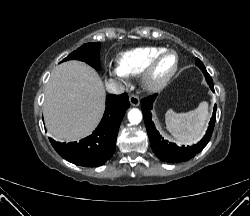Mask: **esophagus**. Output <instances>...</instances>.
<instances>
[{
    "label": "esophagus",
    "mask_w": 250,
    "mask_h": 216,
    "mask_svg": "<svg viewBox=\"0 0 250 216\" xmlns=\"http://www.w3.org/2000/svg\"><path fill=\"white\" fill-rule=\"evenodd\" d=\"M129 101H130L132 106H139V104H140L139 97L137 95H134V94L130 95Z\"/></svg>",
    "instance_id": "1"
}]
</instances>
